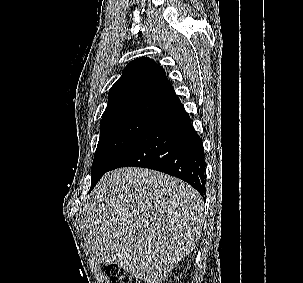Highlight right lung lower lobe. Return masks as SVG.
Instances as JSON below:
<instances>
[{"mask_svg":"<svg viewBox=\"0 0 303 283\" xmlns=\"http://www.w3.org/2000/svg\"><path fill=\"white\" fill-rule=\"evenodd\" d=\"M126 166L149 168L180 178L205 198L202 139L181 103L157 116L110 170Z\"/></svg>","mask_w":303,"mask_h":283,"instance_id":"obj_1","label":"right lung lower lobe"}]
</instances>
